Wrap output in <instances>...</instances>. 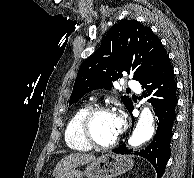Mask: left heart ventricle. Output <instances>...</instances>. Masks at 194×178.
I'll list each match as a JSON object with an SVG mask.
<instances>
[{
    "label": "left heart ventricle",
    "instance_id": "1",
    "mask_svg": "<svg viewBox=\"0 0 194 178\" xmlns=\"http://www.w3.org/2000/svg\"><path fill=\"white\" fill-rule=\"evenodd\" d=\"M114 120V114L110 113H101L94 118L92 133L98 142L109 143L118 135L115 130Z\"/></svg>",
    "mask_w": 194,
    "mask_h": 178
}]
</instances>
